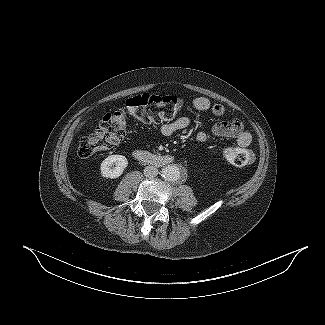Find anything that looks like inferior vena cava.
I'll return each mask as SVG.
<instances>
[{
	"label": "inferior vena cava",
	"mask_w": 325,
	"mask_h": 325,
	"mask_svg": "<svg viewBox=\"0 0 325 325\" xmlns=\"http://www.w3.org/2000/svg\"><path fill=\"white\" fill-rule=\"evenodd\" d=\"M144 175L147 177V178H154L158 175V169L157 167L155 166H146L144 168Z\"/></svg>",
	"instance_id": "602c4592"
}]
</instances>
